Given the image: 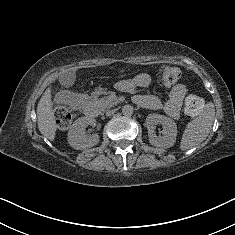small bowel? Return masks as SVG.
<instances>
[{
    "instance_id": "c3829d8e",
    "label": "small bowel",
    "mask_w": 235,
    "mask_h": 235,
    "mask_svg": "<svg viewBox=\"0 0 235 235\" xmlns=\"http://www.w3.org/2000/svg\"><path fill=\"white\" fill-rule=\"evenodd\" d=\"M150 82L149 77L146 74L138 75L132 83L124 81L119 84L120 88H142L148 85ZM187 93V88L183 84L175 85L166 100H162L153 95L137 94L133 97L136 104L148 108L163 110L169 117L176 119L179 116L183 99Z\"/></svg>"
}]
</instances>
